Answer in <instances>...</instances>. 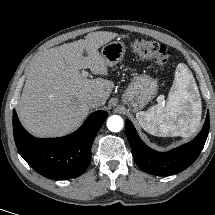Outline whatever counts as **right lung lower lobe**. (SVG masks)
I'll return each mask as SVG.
<instances>
[{
  "label": "right lung lower lobe",
  "mask_w": 215,
  "mask_h": 215,
  "mask_svg": "<svg viewBox=\"0 0 215 215\" xmlns=\"http://www.w3.org/2000/svg\"><path fill=\"white\" fill-rule=\"evenodd\" d=\"M108 113L96 111L74 133L60 138H35L20 124L13 112V132L23 159L49 179H68L82 174L91 159L93 140Z\"/></svg>",
  "instance_id": "1"
}]
</instances>
